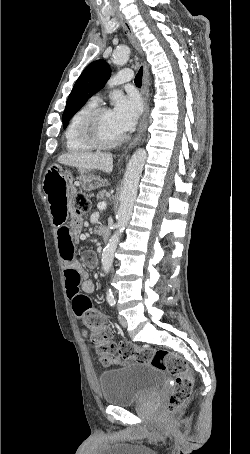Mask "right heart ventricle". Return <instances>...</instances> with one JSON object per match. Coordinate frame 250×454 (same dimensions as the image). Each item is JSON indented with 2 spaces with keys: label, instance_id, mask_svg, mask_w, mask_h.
I'll list each match as a JSON object with an SVG mask.
<instances>
[{
  "label": "right heart ventricle",
  "instance_id": "right-heart-ventricle-1",
  "mask_svg": "<svg viewBox=\"0 0 250 454\" xmlns=\"http://www.w3.org/2000/svg\"><path fill=\"white\" fill-rule=\"evenodd\" d=\"M97 107V103L89 101L80 107L71 117L69 124L64 132L66 148L70 152H86L92 147L85 143L81 138V124L84 117Z\"/></svg>",
  "mask_w": 250,
  "mask_h": 454
}]
</instances>
